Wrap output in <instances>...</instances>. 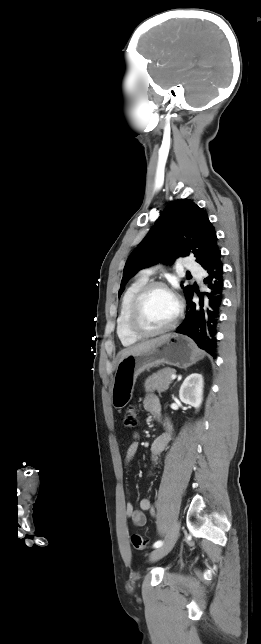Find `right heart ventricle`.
I'll list each match as a JSON object with an SVG mask.
<instances>
[{"instance_id": "1", "label": "right heart ventricle", "mask_w": 261, "mask_h": 644, "mask_svg": "<svg viewBox=\"0 0 261 644\" xmlns=\"http://www.w3.org/2000/svg\"><path fill=\"white\" fill-rule=\"evenodd\" d=\"M148 276L141 274L132 281L126 288L120 305V311L117 319V335L124 346L134 345L139 341L128 329L127 321L132 300L139 289L148 282Z\"/></svg>"}]
</instances>
